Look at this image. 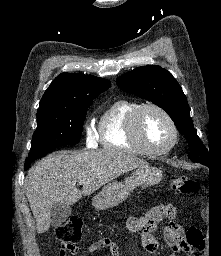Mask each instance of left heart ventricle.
<instances>
[{"instance_id": "b2bd125f", "label": "left heart ventricle", "mask_w": 221, "mask_h": 256, "mask_svg": "<svg viewBox=\"0 0 221 256\" xmlns=\"http://www.w3.org/2000/svg\"><path fill=\"white\" fill-rule=\"evenodd\" d=\"M141 132L146 143L152 148H163L172 139V131L166 118L154 109L144 112L141 120Z\"/></svg>"}]
</instances>
